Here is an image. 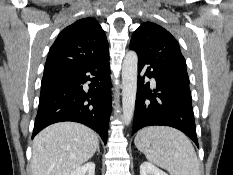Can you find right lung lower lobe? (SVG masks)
I'll return each mask as SVG.
<instances>
[{"label": "right lung lower lobe", "mask_w": 233, "mask_h": 175, "mask_svg": "<svg viewBox=\"0 0 233 175\" xmlns=\"http://www.w3.org/2000/svg\"><path fill=\"white\" fill-rule=\"evenodd\" d=\"M87 81L91 82L89 87L83 86ZM110 114L108 53L94 61L42 79L32 138L50 124L74 121L95 130L106 144Z\"/></svg>", "instance_id": "1"}]
</instances>
